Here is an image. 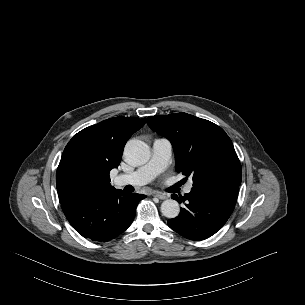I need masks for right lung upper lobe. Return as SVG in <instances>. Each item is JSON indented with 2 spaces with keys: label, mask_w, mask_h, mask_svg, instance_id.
<instances>
[{
  "label": "right lung upper lobe",
  "mask_w": 305,
  "mask_h": 305,
  "mask_svg": "<svg viewBox=\"0 0 305 305\" xmlns=\"http://www.w3.org/2000/svg\"><path fill=\"white\" fill-rule=\"evenodd\" d=\"M144 124L145 118L114 117L78 132L65 147L57 169L61 204L114 190L109 172L118 167L125 143Z\"/></svg>",
  "instance_id": "right-lung-upper-lobe-1"
}]
</instances>
